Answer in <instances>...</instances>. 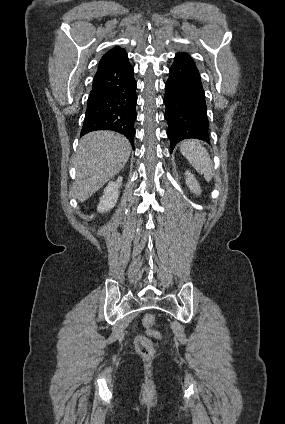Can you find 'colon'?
I'll return each instance as SVG.
<instances>
[{
	"label": "colon",
	"instance_id": "obj_1",
	"mask_svg": "<svg viewBox=\"0 0 285 424\" xmlns=\"http://www.w3.org/2000/svg\"><path fill=\"white\" fill-rule=\"evenodd\" d=\"M155 322H156L155 316L151 314L146 315L142 320V324L149 329H152L154 327ZM153 333L156 336H158L156 332H153ZM135 348H136V351L143 357H151L155 353V346L153 341L143 335L136 336Z\"/></svg>",
	"mask_w": 285,
	"mask_h": 424
}]
</instances>
